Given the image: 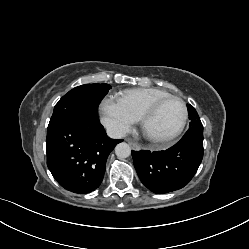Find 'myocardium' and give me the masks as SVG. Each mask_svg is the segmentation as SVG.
I'll list each match as a JSON object with an SVG mask.
<instances>
[{
  "mask_svg": "<svg viewBox=\"0 0 249 249\" xmlns=\"http://www.w3.org/2000/svg\"><path fill=\"white\" fill-rule=\"evenodd\" d=\"M169 100H178L183 106L184 113H183V117H182V120L179 126L174 132L164 137L157 138V137H152V136L147 135L145 132L146 124L155 115V113L159 110V108L165 102ZM187 119H188V107H187L186 102L179 96L169 95L167 97L157 100L152 105H150L140 116V124H141V129L143 133L145 134V136L154 144L163 147V146H167L168 144H170L173 140H175L181 134V132L183 131L186 125Z\"/></svg>",
  "mask_w": 249,
  "mask_h": 249,
  "instance_id": "f54148a6",
  "label": "myocardium"
}]
</instances>
